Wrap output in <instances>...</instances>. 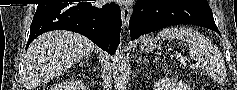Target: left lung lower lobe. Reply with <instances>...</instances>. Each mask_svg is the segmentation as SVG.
<instances>
[{
	"instance_id": "0a47b994",
	"label": "left lung lower lobe",
	"mask_w": 237,
	"mask_h": 90,
	"mask_svg": "<svg viewBox=\"0 0 237 90\" xmlns=\"http://www.w3.org/2000/svg\"><path fill=\"white\" fill-rule=\"evenodd\" d=\"M177 24L203 26L220 35L210 7L185 0H138L129 21L132 39Z\"/></svg>"
}]
</instances>
